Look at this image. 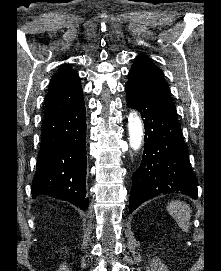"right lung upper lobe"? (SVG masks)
I'll return each mask as SVG.
<instances>
[{
  "mask_svg": "<svg viewBox=\"0 0 221 271\" xmlns=\"http://www.w3.org/2000/svg\"><path fill=\"white\" fill-rule=\"evenodd\" d=\"M81 102L83 91L78 74L69 66L61 67L49 84L44 117L73 109Z\"/></svg>",
  "mask_w": 221,
  "mask_h": 271,
  "instance_id": "obj_1",
  "label": "right lung upper lobe"
}]
</instances>
